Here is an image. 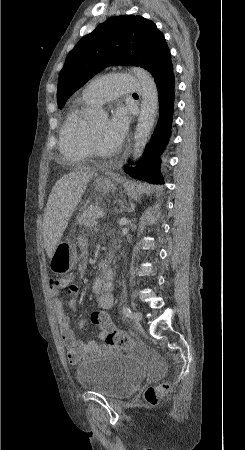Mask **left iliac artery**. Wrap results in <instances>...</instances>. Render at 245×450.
<instances>
[{"instance_id": "obj_1", "label": "left iliac artery", "mask_w": 245, "mask_h": 450, "mask_svg": "<svg viewBox=\"0 0 245 450\" xmlns=\"http://www.w3.org/2000/svg\"><path fill=\"white\" fill-rule=\"evenodd\" d=\"M122 311H123V314L125 317H127V318L131 317V310L129 307L124 306Z\"/></svg>"}]
</instances>
